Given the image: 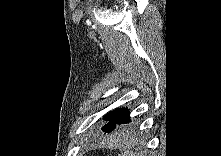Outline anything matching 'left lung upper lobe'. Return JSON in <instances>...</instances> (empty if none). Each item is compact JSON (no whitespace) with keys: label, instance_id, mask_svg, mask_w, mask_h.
<instances>
[{"label":"left lung upper lobe","instance_id":"5c2ea615","mask_svg":"<svg viewBox=\"0 0 221 156\" xmlns=\"http://www.w3.org/2000/svg\"><path fill=\"white\" fill-rule=\"evenodd\" d=\"M103 119L107 121V123L102 127V130L109 133L113 131L116 126L127 124L130 121L129 111L127 108H117L107 113Z\"/></svg>","mask_w":221,"mask_h":156}]
</instances>
